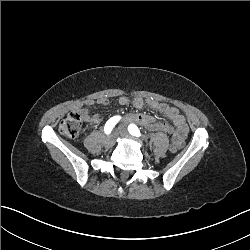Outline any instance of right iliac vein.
Instances as JSON below:
<instances>
[{
	"label": "right iliac vein",
	"instance_id": "right-iliac-vein-1",
	"mask_svg": "<svg viewBox=\"0 0 250 250\" xmlns=\"http://www.w3.org/2000/svg\"><path fill=\"white\" fill-rule=\"evenodd\" d=\"M119 131L113 132L110 136L106 137L104 139V146L106 147H112L115 144L116 138L118 136Z\"/></svg>",
	"mask_w": 250,
	"mask_h": 250
}]
</instances>
